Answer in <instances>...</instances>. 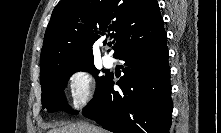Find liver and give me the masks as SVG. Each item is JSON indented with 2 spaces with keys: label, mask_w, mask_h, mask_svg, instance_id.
I'll use <instances>...</instances> for the list:
<instances>
[{
  "label": "liver",
  "mask_w": 221,
  "mask_h": 133,
  "mask_svg": "<svg viewBox=\"0 0 221 133\" xmlns=\"http://www.w3.org/2000/svg\"><path fill=\"white\" fill-rule=\"evenodd\" d=\"M47 133H107L104 130L86 123H69L59 128L50 129Z\"/></svg>",
  "instance_id": "1"
}]
</instances>
